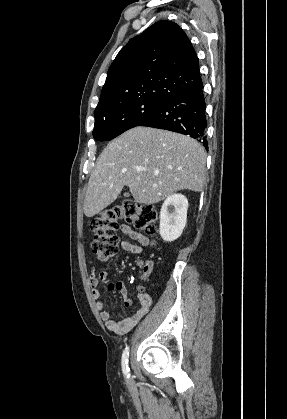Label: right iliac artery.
I'll list each match as a JSON object with an SVG mask.
<instances>
[{
    "mask_svg": "<svg viewBox=\"0 0 287 419\" xmlns=\"http://www.w3.org/2000/svg\"><path fill=\"white\" fill-rule=\"evenodd\" d=\"M128 358H129V347H126L122 354V370L126 378L130 377L129 367H128Z\"/></svg>",
    "mask_w": 287,
    "mask_h": 419,
    "instance_id": "82829eb1",
    "label": "right iliac artery"
}]
</instances>
